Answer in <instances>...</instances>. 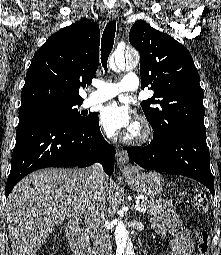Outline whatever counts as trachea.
Masks as SVG:
<instances>
[{
	"instance_id": "1",
	"label": "trachea",
	"mask_w": 221,
	"mask_h": 255,
	"mask_svg": "<svg viewBox=\"0 0 221 255\" xmlns=\"http://www.w3.org/2000/svg\"><path fill=\"white\" fill-rule=\"evenodd\" d=\"M115 32L116 22L115 21L108 22L104 29L101 41V62L105 71H107V60L113 48Z\"/></svg>"
}]
</instances>
